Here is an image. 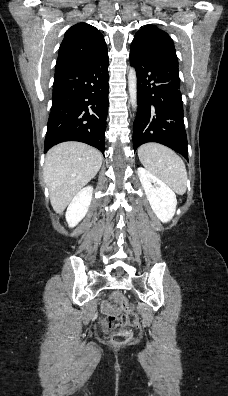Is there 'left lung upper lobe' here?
<instances>
[{
	"instance_id": "obj_1",
	"label": "left lung upper lobe",
	"mask_w": 228,
	"mask_h": 396,
	"mask_svg": "<svg viewBox=\"0 0 228 396\" xmlns=\"http://www.w3.org/2000/svg\"><path fill=\"white\" fill-rule=\"evenodd\" d=\"M131 45L146 51L165 55L178 63L172 39L166 32L154 25L140 29L135 34Z\"/></svg>"
}]
</instances>
